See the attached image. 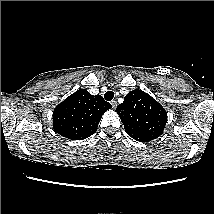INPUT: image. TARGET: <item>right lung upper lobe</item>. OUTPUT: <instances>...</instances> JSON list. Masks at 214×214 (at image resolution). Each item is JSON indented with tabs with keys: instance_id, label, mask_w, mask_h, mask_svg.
<instances>
[{
	"instance_id": "1",
	"label": "right lung upper lobe",
	"mask_w": 214,
	"mask_h": 214,
	"mask_svg": "<svg viewBox=\"0 0 214 214\" xmlns=\"http://www.w3.org/2000/svg\"><path fill=\"white\" fill-rule=\"evenodd\" d=\"M112 108L101 95L77 90L53 111V129L71 140H83L94 134L102 115Z\"/></svg>"
}]
</instances>
